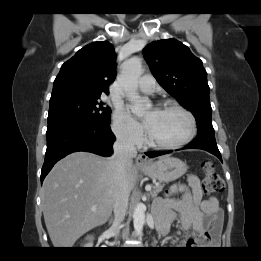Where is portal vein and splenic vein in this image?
I'll list each match as a JSON object with an SVG mask.
<instances>
[{
    "label": "portal vein and splenic vein",
    "instance_id": "portal-vein-and-splenic-vein-1",
    "mask_svg": "<svg viewBox=\"0 0 261 261\" xmlns=\"http://www.w3.org/2000/svg\"><path fill=\"white\" fill-rule=\"evenodd\" d=\"M145 189L147 190V191H150L151 190V186L150 185H147L146 187H145ZM94 210V209H93Z\"/></svg>",
    "mask_w": 261,
    "mask_h": 261
}]
</instances>
